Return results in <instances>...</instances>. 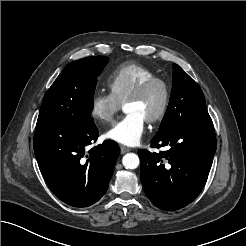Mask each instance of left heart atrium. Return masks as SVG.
Listing matches in <instances>:
<instances>
[{"instance_id":"left-heart-atrium-1","label":"left heart atrium","mask_w":246,"mask_h":246,"mask_svg":"<svg viewBox=\"0 0 246 246\" xmlns=\"http://www.w3.org/2000/svg\"><path fill=\"white\" fill-rule=\"evenodd\" d=\"M145 130V119L138 113H127L107 131L106 137L126 146L137 145Z\"/></svg>"}]
</instances>
